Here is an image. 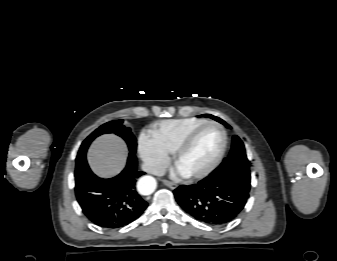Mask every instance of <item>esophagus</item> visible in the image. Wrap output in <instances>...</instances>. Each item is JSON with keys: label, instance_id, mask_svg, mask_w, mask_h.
I'll list each match as a JSON object with an SVG mask.
<instances>
[{"label": "esophagus", "instance_id": "obj_1", "mask_svg": "<svg viewBox=\"0 0 337 261\" xmlns=\"http://www.w3.org/2000/svg\"><path fill=\"white\" fill-rule=\"evenodd\" d=\"M163 183L171 189H176L177 186H178L176 183H173V182L167 181V180H164Z\"/></svg>", "mask_w": 337, "mask_h": 261}]
</instances>
